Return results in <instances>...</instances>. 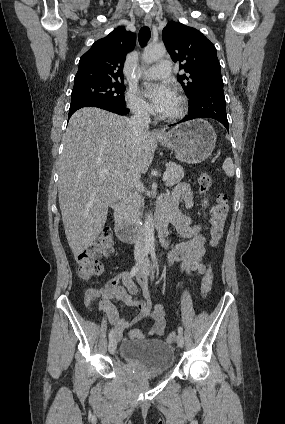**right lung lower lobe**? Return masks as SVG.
<instances>
[{"label":"right lung lower lobe","instance_id":"right-lung-lower-lobe-1","mask_svg":"<svg viewBox=\"0 0 285 424\" xmlns=\"http://www.w3.org/2000/svg\"><path fill=\"white\" fill-rule=\"evenodd\" d=\"M83 107H98L119 115L128 114L129 110L125 107V105H118L116 103H112L103 99H96L91 97H82V98H74L71 101L70 109H69V117L78 109Z\"/></svg>","mask_w":285,"mask_h":424}]
</instances>
